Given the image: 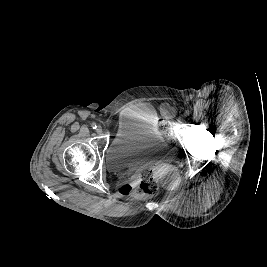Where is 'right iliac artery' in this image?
Returning <instances> with one entry per match:
<instances>
[{
  "label": "right iliac artery",
  "instance_id": "1",
  "mask_svg": "<svg viewBox=\"0 0 267 267\" xmlns=\"http://www.w3.org/2000/svg\"><path fill=\"white\" fill-rule=\"evenodd\" d=\"M91 127H92L93 129H96V128H97V125H96L95 123H92Z\"/></svg>",
  "mask_w": 267,
  "mask_h": 267
}]
</instances>
